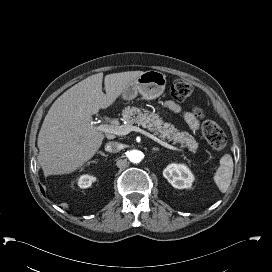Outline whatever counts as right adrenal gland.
<instances>
[{"label": "right adrenal gland", "instance_id": "right-adrenal-gland-1", "mask_svg": "<svg viewBox=\"0 0 272 272\" xmlns=\"http://www.w3.org/2000/svg\"><path fill=\"white\" fill-rule=\"evenodd\" d=\"M99 154H101L102 156H105V157H107L108 155L107 154H105L104 152H102V151H99L98 152Z\"/></svg>", "mask_w": 272, "mask_h": 272}]
</instances>
